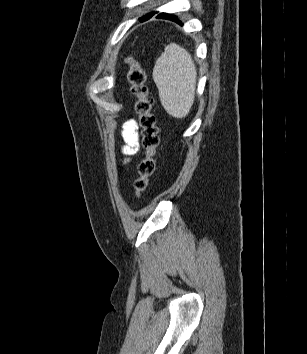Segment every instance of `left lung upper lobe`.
<instances>
[{
	"mask_svg": "<svg viewBox=\"0 0 307 354\" xmlns=\"http://www.w3.org/2000/svg\"><path fill=\"white\" fill-rule=\"evenodd\" d=\"M154 14H155V12L149 13V14L143 16L142 18H140V20L142 21V20H144V19H146V18H148L150 16H153Z\"/></svg>",
	"mask_w": 307,
	"mask_h": 354,
	"instance_id": "1",
	"label": "left lung upper lobe"
}]
</instances>
